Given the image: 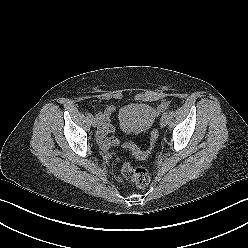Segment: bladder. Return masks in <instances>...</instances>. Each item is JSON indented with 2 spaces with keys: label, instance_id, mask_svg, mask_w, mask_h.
<instances>
[{
  "label": "bladder",
  "instance_id": "bladder-1",
  "mask_svg": "<svg viewBox=\"0 0 248 248\" xmlns=\"http://www.w3.org/2000/svg\"><path fill=\"white\" fill-rule=\"evenodd\" d=\"M154 109L146 103L128 105L121 113V120L135 133L147 131L155 121Z\"/></svg>",
  "mask_w": 248,
  "mask_h": 248
}]
</instances>
